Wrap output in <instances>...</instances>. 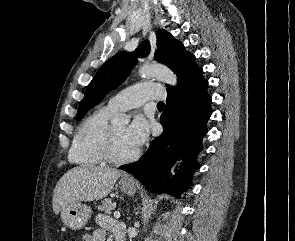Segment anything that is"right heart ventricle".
Returning a JSON list of instances; mask_svg holds the SVG:
<instances>
[{
	"mask_svg": "<svg viewBox=\"0 0 295 241\" xmlns=\"http://www.w3.org/2000/svg\"><path fill=\"white\" fill-rule=\"evenodd\" d=\"M113 112L107 106L99 108L81 123L69 150L68 159L72 164L92 167L105 162L102 145Z\"/></svg>",
	"mask_w": 295,
	"mask_h": 241,
	"instance_id": "right-heart-ventricle-1",
	"label": "right heart ventricle"
}]
</instances>
